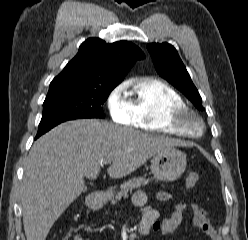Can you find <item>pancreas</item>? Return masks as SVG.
<instances>
[{
	"mask_svg": "<svg viewBox=\"0 0 248 240\" xmlns=\"http://www.w3.org/2000/svg\"><path fill=\"white\" fill-rule=\"evenodd\" d=\"M149 183V179H145L144 177H138L130 179L127 182H124L120 186V191L116 194L115 199L111 200V204H115L122 197H127L128 192H131L133 189H139L141 186H145Z\"/></svg>",
	"mask_w": 248,
	"mask_h": 240,
	"instance_id": "cf45deb5",
	"label": "pancreas"
}]
</instances>
